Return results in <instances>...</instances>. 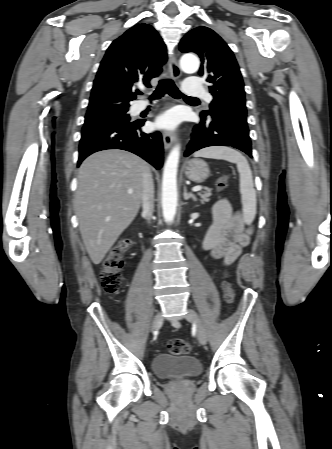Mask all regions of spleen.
<instances>
[{"instance_id": "3e777b00", "label": "spleen", "mask_w": 332, "mask_h": 449, "mask_svg": "<svg viewBox=\"0 0 332 449\" xmlns=\"http://www.w3.org/2000/svg\"><path fill=\"white\" fill-rule=\"evenodd\" d=\"M195 157L222 159L235 163L240 178V194L243 206V218L246 224H251L256 215V191L254 189L252 172L246 158L238 151L229 147H210L197 151Z\"/></svg>"}]
</instances>
